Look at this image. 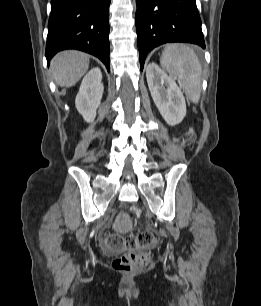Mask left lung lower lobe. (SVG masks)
<instances>
[{
    "mask_svg": "<svg viewBox=\"0 0 261 306\" xmlns=\"http://www.w3.org/2000/svg\"><path fill=\"white\" fill-rule=\"evenodd\" d=\"M135 16L141 70L153 48L170 42L205 48L196 0H136Z\"/></svg>",
    "mask_w": 261,
    "mask_h": 306,
    "instance_id": "obj_1",
    "label": "left lung lower lobe"
}]
</instances>
